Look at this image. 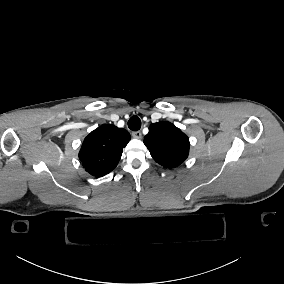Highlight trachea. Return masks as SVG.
<instances>
[{
    "label": "trachea",
    "mask_w": 284,
    "mask_h": 284,
    "mask_svg": "<svg viewBox=\"0 0 284 284\" xmlns=\"http://www.w3.org/2000/svg\"><path fill=\"white\" fill-rule=\"evenodd\" d=\"M128 127L132 131H138L141 128V120L138 116H132L128 121Z\"/></svg>",
    "instance_id": "trachea-1"
}]
</instances>
